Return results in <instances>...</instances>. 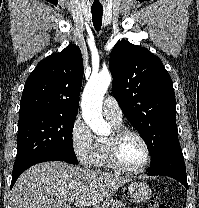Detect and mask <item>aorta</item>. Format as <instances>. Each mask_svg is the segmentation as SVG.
I'll return each mask as SVG.
<instances>
[{"label": "aorta", "mask_w": 199, "mask_h": 208, "mask_svg": "<svg viewBox=\"0 0 199 208\" xmlns=\"http://www.w3.org/2000/svg\"><path fill=\"white\" fill-rule=\"evenodd\" d=\"M109 71H101L92 75L82 95V115L87 125L97 135H107L110 132L109 124L103 119V97L111 83Z\"/></svg>", "instance_id": "obj_1"}]
</instances>
